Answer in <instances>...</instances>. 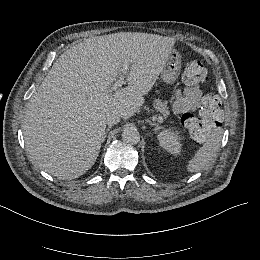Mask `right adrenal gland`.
I'll use <instances>...</instances> for the list:
<instances>
[{"label": "right adrenal gland", "instance_id": "right-adrenal-gland-1", "mask_svg": "<svg viewBox=\"0 0 260 260\" xmlns=\"http://www.w3.org/2000/svg\"><path fill=\"white\" fill-rule=\"evenodd\" d=\"M110 129H111V126H109V127L106 129L105 134L108 133V132L110 131Z\"/></svg>", "mask_w": 260, "mask_h": 260}]
</instances>
